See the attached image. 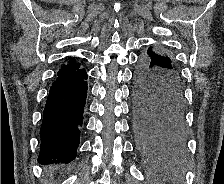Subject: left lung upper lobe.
Here are the masks:
<instances>
[{
    "mask_svg": "<svg viewBox=\"0 0 224 184\" xmlns=\"http://www.w3.org/2000/svg\"><path fill=\"white\" fill-rule=\"evenodd\" d=\"M152 50H153L154 53L157 54L159 57H161V58H163V59H165V60L171 62V63L174 65V67H172V70H171V71H172L174 74L179 75L178 69H177L175 63L173 62V56H172V54H171L170 52H168V51H166V50H163V49H152Z\"/></svg>",
    "mask_w": 224,
    "mask_h": 184,
    "instance_id": "5c2ea615",
    "label": "left lung upper lobe"
}]
</instances>
